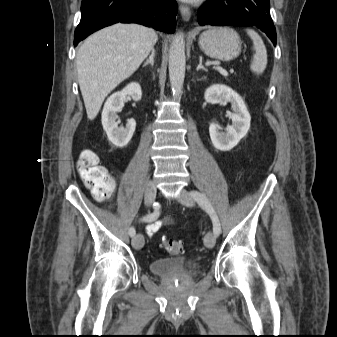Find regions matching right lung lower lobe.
I'll list each match as a JSON object with an SVG mask.
<instances>
[{
	"instance_id": "obj_1",
	"label": "right lung lower lobe",
	"mask_w": 337,
	"mask_h": 337,
	"mask_svg": "<svg viewBox=\"0 0 337 337\" xmlns=\"http://www.w3.org/2000/svg\"><path fill=\"white\" fill-rule=\"evenodd\" d=\"M178 6L175 0H82L81 20L74 45L114 23H138L173 33Z\"/></svg>"
}]
</instances>
